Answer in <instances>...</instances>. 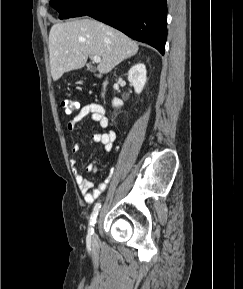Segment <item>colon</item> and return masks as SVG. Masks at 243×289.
<instances>
[{
    "label": "colon",
    "instance_id": "obj_1",
    "mask_svg": "<svg viewBox=\"0 0 243 289\" xmlns=\"http://www.w3.org/2000/svg\"><path fill=\"white\" fill-rule=\"evenodd\" d=\"M61 105L67 114H71L79 108V104L71 99H64Z\"/></svg>",
    "mask_w": 243,
    "mask_h": 289
}]
</instances>
